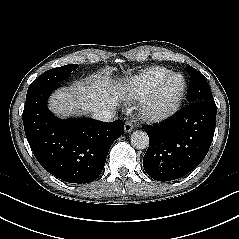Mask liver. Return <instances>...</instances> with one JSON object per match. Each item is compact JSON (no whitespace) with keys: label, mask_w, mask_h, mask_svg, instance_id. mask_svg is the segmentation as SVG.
<instances>
[{"label":"liver","mask_w":239,"mask_h":239,"mask_svg":"<svg viewBox=\"0 0 239 239\" xmlns=\"http://www.w3.org/2000/svg\"><path fill=\"white\" fill-rule=\"evenodd\" d=\"M125 94L121 83H113L107 76H98L86 83H76L69 89L57 91L50 99V108L63 117L86 115L105 108L115 110Z\"/></svg>","instance_id":"liver-1"}]
</instances>
